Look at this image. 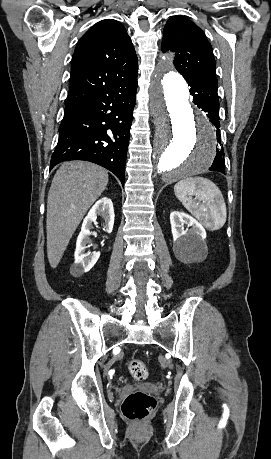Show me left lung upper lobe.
Masks as SVG:
<instances>
[{"label":"left lung upper lobe","instance_id":"obj_1","mask_svg":"<svg viewBox=\"0 0 271 459\" xmlns=\"http://www.w3.org/2000/svg\"><path fill=\"white\" fill-rule=\"evenodd\" d=\"M162 50L177 53L174 66L186 80L212 78L218 83L212 47L203 31L187 18L173 16L167 21Z\"/></svg>","mask_w":271,"mask_h":459}]
</instances>
